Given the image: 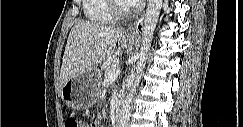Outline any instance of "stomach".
I'll return each mask as SVG.
<instances>
[{
    "mask_svg": "<svg viewBox=\"0 0 243 127\" xmlns=\"http://www.w3.org/2000/svg\"><path fill=\"white\" fill-rule=\"evenodd\" d=\"M136 36L125 35L121 39L123 46H131ZM102 72L98 66L83 71L70 78L61 86V98L67 107L74 110H86L93 106L100 94Z\"/></svg>",
    "mask_w": 243,
    "mask_h": 127,
    "instance_id": "stomach-1",
    "label": "stomach"
}]
</instances>
